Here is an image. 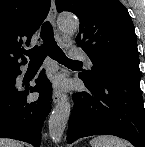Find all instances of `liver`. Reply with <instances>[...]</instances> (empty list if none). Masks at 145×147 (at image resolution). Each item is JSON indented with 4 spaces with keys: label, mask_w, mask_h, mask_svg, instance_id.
I'll list each match as a JSON object with an SVG mask.
<instances>
[{
    "label": "liver",
    "mask_w": 145,
    "mask_h": 147,
    "mask_svg": "<svg viewBox=\"0 0 145 147\" xmlns=\"http://www.w3.org/2000/svg\"><path fill=\"white\" fill-rule=\"evenodd\" d=\"M0 147H23V144L15 140L0 138Z\"/></svg>",
    "instance_id": "liver-1"
}]
</instances>
